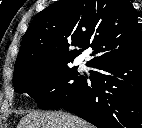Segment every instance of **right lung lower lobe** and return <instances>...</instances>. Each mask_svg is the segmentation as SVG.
<instances>
[{"instance_id": "98d812e1", "label": "right lung lower lobe", "mask_w": 142, "mask_h": 128, "mask_svg": "<svg viewBox=\"0 0 142 128\" xmlns=\"http://www.w3.org/2000/svg\"><path fill=\"white\" fill-rule=\"evenodd\" d=\"M94 68L62 108L99 128H142V48Z\"/></svg>"}]
</instances>
